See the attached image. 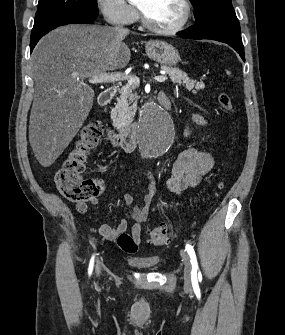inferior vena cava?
I'll return each mask as SVG.
<instances>
[{
    "mask_svg": "<svg viewBox=\"0 0 285 335\" xmlns=\"http://www.w3.org/2000/svg\"><path fill=\"white\" fill-rule=\"evenodd\" d=\"M117 32H119V34H125V36H127L129 30H127V28H123V26H120V28H116Z\"/></svg>",
    "mask_w": 285,
    "mask_h": 335,
    "instance_id": "inferior-vena-cava-1",
    "label": "inferior vena cava"
}]
</instances>
